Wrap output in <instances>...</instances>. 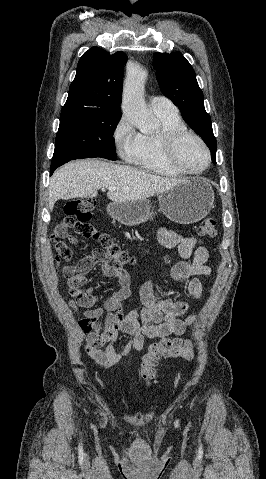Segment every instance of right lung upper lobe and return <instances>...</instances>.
Segmentation results:
<instances>
[{
  "label": "right lung upper lobe",
  "mask_w": 266,
  "mask_h": 479,
  "mask_svg": "<svg viewBox=\"0 0 266 479\" xmlns=\"http://www.w3.org/2000/svg\"><path fill=\"white\" fill-rule=\"evenodd\" d=\"M126 60L127 56L122 51L112 55L99 47L86 51L78 62L61 115H122L120 100Z\"/></svg>",
  "instance_id": "right-lung-upper-lobe-1"
}]
</instances>
